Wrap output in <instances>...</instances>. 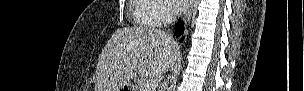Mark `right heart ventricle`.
Masks as SVG:
<instances>
[{
  "label": "right heart ventricle",
  "mask_w": 304,
  "mask_h": 91,
  "mask_svg": "<svg viewBox=\"0 0 304 91\" xmlns=\"http://www.w3.org/2000/svg\"><path fill=\"white\" fill-rule=\"evenodd\" d=\"M154 9L155 6L148 0H134L132 1L130 12L136 24L151 27L156 25L151 20Z\"/></svg>",
  "instance_id": "right-heart-ventricle-1"
}]
</instances>
